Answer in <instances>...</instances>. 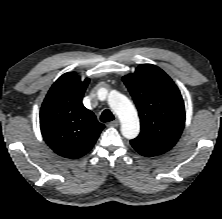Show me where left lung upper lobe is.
I'll list each match as a JSON object with an SVG mask.
<instances>
[{
    "label": "left lung upper lobe",
    "mask_w": 222,
    "mask_h": 219,
    "mask_svg": "<svg viewBox=\"0 0 222 219\" xmlns=\"http://www.w3.org/2000/svg\"><path fill=\"white\" fill-rule=\"evenodd\" d=\"M139 112L141 132L131 142L164 151L178 141L185 123V108L172 79L152 64L139 65L123 77Z\"/></svg>",
    "instance_id": "1"
}]
</instances>
